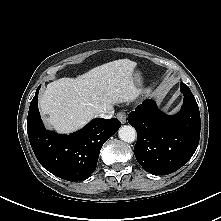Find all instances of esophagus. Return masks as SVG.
<instances>
[{
    "label": "esophagus",
    "instance_id": "1",
    "mask_svg": "<svg viewBox=\"0 0 221 221\" xmlns=\"http://www.w3.org/2000/svg\"><path fill=\"white\" fill-rule=\"evenodd\" d=\"M116 117L118 118V120L122 123L125 124L126 123V113L123 111H120L117 113Z\"/></svg>",
    "mask_w": 221,
    "mask_h": 221
}]
</instances>
